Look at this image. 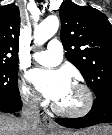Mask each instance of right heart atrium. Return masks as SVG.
Masks as SVG:
<instances>
[{
    "mask_svg": "<svg viewBox=\"0 0 112 135\" xmlns=\"http://www.w3.org/2000/svg\"><path fill=\"white\" fill-rule=\"evenodd\" d=\"M19 92L21 100L26 106L35 109L44 105V102L39 95L25 82L20 83Z\"/></svg>",
    "mask_w": 112,
    "mask_h": 135,
    "instance_id": "obj_1",
    "label": "right heart atrium"
}]
</instances>
